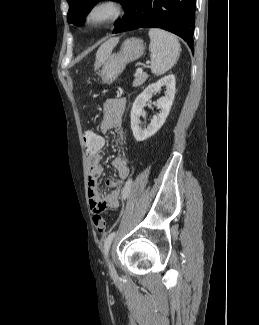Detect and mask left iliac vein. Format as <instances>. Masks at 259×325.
I'll return each instance as SVG.
<instances>
[{"instance_id":"1","label":"left iliac vein","mask_w":259,"mask_h":325,"mask_svg":"<svg viewBox=\"0 0 259 325\" xmlns=\"http://www.w3.org/2000/svg\"><path fill=\"white\" fill-rule=\"evenodd\" d=\"M109 271L112 277H116L117 273L111 260L109 261Z\"/></svg>"}]
</instances>
